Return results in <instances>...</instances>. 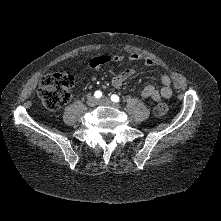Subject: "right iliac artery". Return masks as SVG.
Here are the masks:
<instances>
[{
    "mask_svg": "<svg viewBox=\"0 0 221 221\" xmlns=\"http://www.w3.org/2000/svg\"><path fill=\"white\" fill-rule=\"evenodd\" d=\"M94 96H95V98L99 99V98L102 97V92H101V91H96V92L94 93Z\"/></svg>",
    "mask_w": 221,
    "mask_h": 221,
    "instance_id": "82829eb1",
    "label": "right iliac artery"
}]
</instances>
